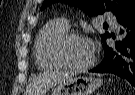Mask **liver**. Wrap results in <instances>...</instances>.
Segmentation results:
<instances>
[{
    "mask_svg": "<svg viewBox=\"0 0 135 95\" xmlns=\"http://www.w3.org/2000/svg\"><path fill=\"white\" fill-rule=\"evenodd\" d=\"M74 76L73 72L47 71L39 74L27 87L25 95H44L53 86Z\"/></svg>",
    "mask_w": 135,
    "mask_h": 95,
    "instance_id": "liver-1",
    "label": "liver"
}]
</instances>
